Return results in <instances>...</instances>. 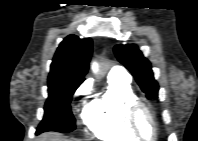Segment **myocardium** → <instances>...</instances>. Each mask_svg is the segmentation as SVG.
I'll return each instance as SVG.
<instances>
[{"instance_id": "f54148a6", "label": "myocardium", "mask_w": 198, "mask_h": 141, "mask_svg": "<svg viewBox=\"0 0 198 141\" xmlns=\"http://www.w3.org/2000/svg\"><path fill=\"white\" fill-rule=\"evenodd\" d=\"M141 112L147 114L153 125L154 132L152 137H145L139 127L138 118ZM125 118L128 127L138 139L155 140L158 137L159 126L157 116L153 108L144 100L135 97L128 101L125 106Z\"/></svg>"}]
</instances>
